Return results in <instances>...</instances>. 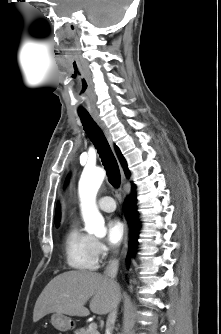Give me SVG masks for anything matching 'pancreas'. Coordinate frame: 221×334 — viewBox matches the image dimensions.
I'll return each instance as SVG.
<instances>
[{
	"mask_svg": "<svg viewBox=\"0 0 221 334\" xmlns=\"http://www.w3.org/2000/svg\"><path fill=\"white\" fill-rule=\"evenodd\" d=\"M74 333L75 334H99L98 331L91 332V331H89V329H86V328L77 329V330H75Z\"/></svg>",
	"mask_w": 221,
	"mask_h": 334,
	"instance_id": "pancreas-1",
	"label": "pancreas"
}]
</instances>
